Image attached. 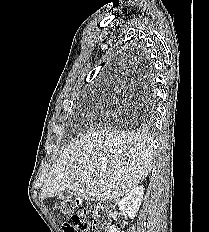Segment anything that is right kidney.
<instances>
[{
	"instance_id": "1",
	"label": "right kidney",
	"mask_w": 209,
	"mask_h": 232,
	"mask_svg": "<svg viewBox=\"0 0 209 232\" xmlns=\"http://www.w3.org/2000/svg\"><path fill=\"white\" fill-rule=\"evenodd\" d=\"M143 194H144L143 186H136L132 188L125 195V197L118 203L119 210L127 213L128 216L131 219H133L140 208ZM108 232H119V231H117V228L114 225H112L109 227Z\"/></svg>"
}]
</instances>
